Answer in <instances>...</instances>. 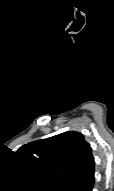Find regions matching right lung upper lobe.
Returning <instances> with one entry per match:
<instances>
[{
    "label": "right lung upper lobe",
    "mask_w": 114,
    "mask_h": 191,
    "mask_svg": "<svg viewBox=\"0 0 114 191\" xmlns=\"http://www.w3.org/2000/svg\"><path fill=\"white\" fill-rule=\"evenodd\" d=\"M17 156L44 188H58L94 172L95 162L84 136L68 131L23 145Z\"/></svg>",
    "instance_id": "cb5924a9"
}]
</instances>
